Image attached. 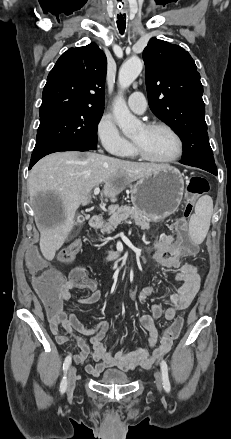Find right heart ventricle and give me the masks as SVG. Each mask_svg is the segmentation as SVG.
<instances>
[{
    "mask_svg": "<svg viewBox=\"0 0 231 439\" xmlns=\"http://www.w3.org/2000/svg\"><path fill=\"white\" fill-rule=\"evenodd\" d=\"M128 155H130V156H134V155H135L133 148H131V150H130V152L128 153Z\"/></svg>",
    "mask_w": 231,
    "mask_h": 439,
    "instance_id": "right-heart-ventricle-1",
    "label": "right heart ventricle"
}]
</instances>
